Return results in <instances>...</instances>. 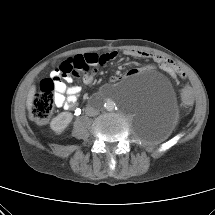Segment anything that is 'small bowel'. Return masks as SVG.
I'll use <instances>...</instances> for the list:
<instances>
[{
	"mask_svg": "<svg viewBox=\"0 0 215 215\" xmlns=\"http://www.w3.org/2000/svg\"><path fill=\"white\" fill-rule=\"evenodd\" d=\"M125 55L134 57V58H151L154 61L160 63L163 67H168V61L162 57L152 55L147 52L138 51V50H126ZM118 56V52L110 51L103 54H97L93 52L85 53L82 55L69 58L67 60L76 61L79 59L82 62V68L78 71L76 77L81 76L82 82L86 85L91 84L94 80L95 73L97 68L105 65L109 61L114 60ZM134 73L133 71L131 74ZM56 75L55 69L51 72V76ZM66 82L71 83L73 81L72 76L63 77ZM111 82H116L119 80L118 76H112L110 78ZM81 93V86L67 85L62 78L56 81L55 83V104L58 107H63L66 110L74 109L79 95Z\"/></svg>",
	"mask_w": 215,
	"mask_h": 215,
	"instance_id": "obj_1",
	"label": "small bowel"
}]
</instances>
